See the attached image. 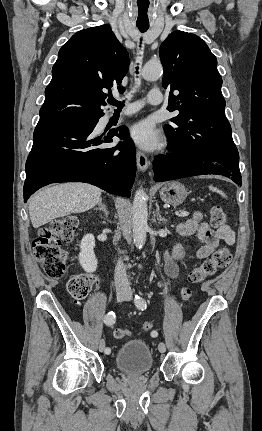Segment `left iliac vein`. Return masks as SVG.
<instances>
[{
    "instance_id": "obj_1",
    "label": "left iliac vein",
    "mask_w": 262,
    "mask_h": 431,
    "mask_svg": "<svg viewBox=\"0 0 262 431\" xmlns=\"http://www.w3.org/2000/svg\"><path fill=\"white\" fill-rule=\"evenodd\" d=\"M125 300L129 301L131 300V295H127ZM158 350L160 351V353H165L166 351V345L164 342H161L158 346Z\"/></svg>"
}]
</instances>
